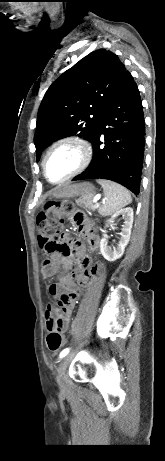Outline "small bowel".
<instances>
[{
    "mask_svg": "<svg viewBox=\"0 0 165 461\" xmlns=\"http://www.w3.org/2000/svg\"><path fill=\"white\" fill-rule=\"evenodd\" d=\"M88 214L87 209H70L69 215L73 223L77 226L80 234L84 235L88 246L95 250L99 245V239L92 229L91 223L85 218ZM67 244L72 246L73 251H60L51 253V261L55 272L59 267L64 270L77 268L72 273L63 272L59 275L57 282L48 286V292L52 296L59 298L58 305L49 304L45 311V324L48 330V324L56 319L59 310L62 311L60 317L59 330H66L71 319L75 305L82 294L81 287L89 284L100 271V266L88 267L89 261L85 256L82 247V237H67Z\"/></svg>",
    "mask_w": 165,
    "mask_h": 461,
    "instance_id": "c3829d8e",
    "label": "small bowel"
}]
</instances>
